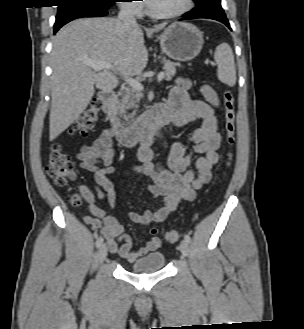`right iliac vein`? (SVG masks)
Returning <instances> with one entry per match:
<instances>
[{"instance_id": "63e3f726", "label": "right iliac vein", "mask_w": 304, "mask_h": 329, "mask_svg": "<svg viewBox=\"0 0 304 329\" xmlns=\"http://www.w3.org/2000/svg\"><path fill=\"white\" fill-rule=\"evenodd\" d=\"M107 256V246L106 244H102L99 248V252H98V259H99V262H103L104 259L106 258Z\"/></svg>"}]
</instances>
